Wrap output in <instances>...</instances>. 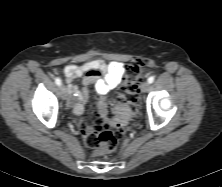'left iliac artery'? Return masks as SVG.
Listing matches in <instances>:
<instances>
[{"label": "left iliac artery", "instance_id": "left-iliac-artery-1", "mask_svg": "<svg viewBox=\"0 0 222 187\" xmlns=\"http://www.w3.org/2000/svg\"><path fill=\"white\" fill-rule=\"evenodd\" d=\"M154 80H155L154 76H150V77L148 78V82H149V83H153Z\"/></svg>", "mask_w": 222, "mask_h": 187}]
</instances>
